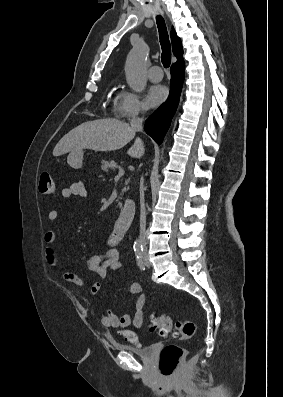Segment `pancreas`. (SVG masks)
I'll list each match as a JSON object with an SVG mask.
<instances>
[{"label": "pancreas", "instance_id": "obj_1", "mask_svg": "<svg viewBox=\"0 0 283 397\" xmlns=\"http://www.w3.org/2000/svg\"><path fill=\"white\" fill-rule=\"evenodd\" d=\"M121 167L117 164V163H115L113 160H111V161H102V163H101V169L104 171V172H108L109 170H115V169H120ZM126 191V188H124L123 189V192H125ZM119 206L121 207L122 206V204L121 203H119Z\"/></svg>", "mask_w": 283, "mask_h": 397}]
</instances>
